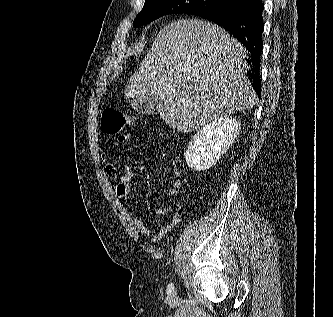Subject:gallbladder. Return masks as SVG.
Returning a JSON list of instances; mask_svg holds the SVG:
<instances>
[{
	"mask_svg": "<svg viewBox=\"0 0 333 317\" xmlns=\"http://www.w3.org/2000/svg\"><path fill=\"white\" fill-rule=\"evenodd\" d=\"M129 103L133 110L145 115L158 114L162 106L161 98L156 96L137 97L131 99Z\"/></svg>",
	"mask_w": 333,
	"mask_h": 317,
	"instance_id": "gallbladder-1",
	"label": "gallbladder"
}]
</instances>
